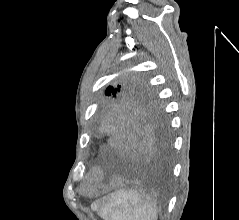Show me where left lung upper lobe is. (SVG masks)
<instances>
[{"label": "left lung upper lobe", "mask_w": 239, "mask_h": 220, "mask_svg": "<svg viewBox=\"0 0 239 220\" xmlns=\"http://www.w3.org/2000/svg\"><path fill=\"white\" fill-rule=\"evenodd\" d=\"M105 101L100 106V112L115 106H125L132 110L147 109L160 111V104L153 92L142 83V76L122 79L105 90Z\"/></svg>", "instance_id": "5c2ea615"}]
</instances>
